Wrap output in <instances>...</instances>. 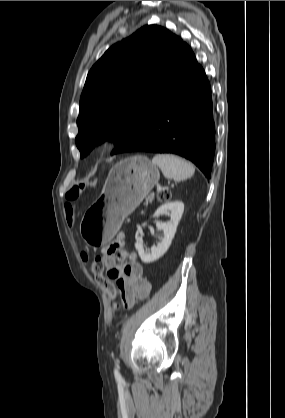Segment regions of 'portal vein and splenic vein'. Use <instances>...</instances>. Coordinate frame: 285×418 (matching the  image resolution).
<instances>
[{"label":"portal vein and splenic vein","instance_id":"obj_1","mask_svg":"<svg viewBox=\"0 0 285 418\" xmlns=\"http://www.w3.org/2000/svg\"><path fill=\"white\" fill-rule=\"evenodd\" d=\"M160 191H162V186L161 185L157 186V192H160Z\"/></svg>","mask_w":285,"mask_h":418}]
</instances>
